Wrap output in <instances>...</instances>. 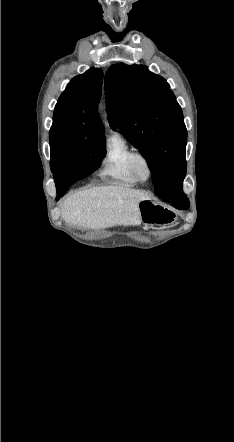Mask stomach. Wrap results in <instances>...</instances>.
Returning <instances> with one entry per match:
<instances>
[{
	"mask_svg": "<svg viewBox=\"0 0 234 442\" xmlns=\"http://www.w3.org/2000/svg\"><path fill=\"white\" fill-rule=\"evenodd\" d=\"M141 222L146 225H169L175 222L176 215L167 206L152 200H143L138 204Z\"/></svg>",
	"mask_w": 234,
	"mask_h": 442,
	"instance_id": "stomach-1",
	"label": "stomach"
}]
</instances>
